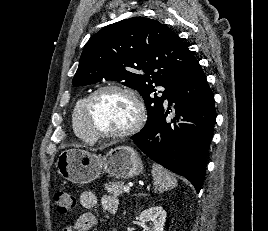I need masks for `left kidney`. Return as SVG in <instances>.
<instances>
[{"mask_svg": "<svg viewBox=\"0 0 268 231\" xmlns=\"http://www.w3.org/2000/svg\"><path fill=\"white\" fill-rule=\"evenodd\" d=\"M139 220L144 228L143 231H163L166 212L161 206H154L141 212Z\"/></svg>", "mask_w": 268, "mask_h": 231, "instance_id": "left-kidney-1", "label": "left kidney"}]
</instances>
